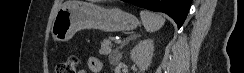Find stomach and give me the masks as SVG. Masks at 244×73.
Returning <instances> with one entry per match:
<instances>
[{"label": "stomach", "mask_w": 244, "mask_h": 73, "mask_svg": "<svg viewBox=\"0 0 244 73\" xmlns=\"http://www.w3.org/2000/svg\"><path fill=\"white\" fill-rule=\"evenodd\" d=\"M139 20L117 8H105L81 0L66 1L55 15L51 35L56 42H66L80 29L125 32L135 29Z\"/></svg>", "instance_id": "stomach-1"}]
</instances>
